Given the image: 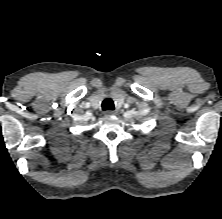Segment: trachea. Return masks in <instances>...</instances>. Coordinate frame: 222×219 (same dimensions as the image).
I'll list each match as a JSON object with an SVG mask.
<instances>
[{"label":"trachea","instance_id":"obj_1","mask_svg":"<svg viewBox=\"0 0 222 219\" xmlns=\"http://www.w3.org/2000/svg\"><path fill=\"white\" fill-rule=\"evenodd\" d=\"M103 110H114V102L112 99L107 98L102 102Z\"/></svg>","mask_w":222,"mask_h":219}]
</instances>
